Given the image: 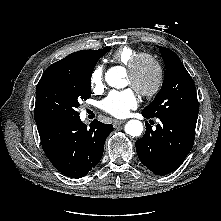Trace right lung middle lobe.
<instances>
[{
    "label": "right lung middle lobe",
    "instance_id": "1",
    "mask_svg": "<svg viewBox=\"0 0 221 221\" xmlns=\"http://www.w3.org/2000/svg\"><path fill=\"white\" fill-rule=\"evenodd\" d=\"M106 53H97L72 64L46 69L36 88L34 118L37 126L78 117L79 102L91 96L93 69Z\"/></svg>",
    "mask_w": 221,
    "mask_h": 221
}]
</instances>
